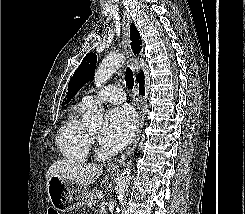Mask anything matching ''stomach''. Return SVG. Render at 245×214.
Returning a JSON list of instances; mask_svg holds the SVG:
<instances>
[{
  "instance_id": "1",
  "label": "stomach",
  "mask_w": 245,
  "mask_h": 214,
  "mask_svg": "<svg viewBox=\"0 0 245 214\" xmlns=\"http://www.w3.org/2000/svg\"><path fill=\"white\" fill-rule=\"evenodd\" d=\"M46 187L51 205L60 212L83 207L88 197L86 186L62 179L58 175L51 176L46 182Z\"/></svg>"
}]
</instances>
